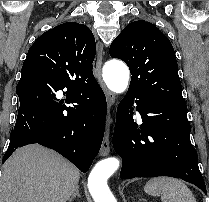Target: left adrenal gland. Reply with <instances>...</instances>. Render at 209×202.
Masks as SVG:
<instances>
[{
    "label": "left adrenal gland",
    "mask_w": 209,
    "mask_h": 202,
    "mask_svg": "<svg viewBox=\"0 0 209 202\" xmlns=\"http://www.w3.org/2000/svg\"><path fill=\"white\" fill-rule=\"evenodd\" d=\"M142 201L146 202L145 199H142Z\"/></svg>",
    "instance_id": "1"
}]
</instances>
